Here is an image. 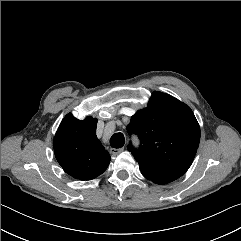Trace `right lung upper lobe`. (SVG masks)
<instances>
[{"label":"right lung upper lobe","instance_id":"right-lung-upper-lobe-1","mask_svg":"<svg viewBox=\"0 0 241 241\" xmlns=\"http://www.w3.org/2000/svg\"><path fill=\"white\" fill-rule=\"evenodd\" d=\"M97 119H76L71 113L62 120L54 137L58 163L70 176L90 180L109 166L110 155L96 136Z\"/></svg>","mask_w":241,"mask_h":241}]
</instances>
